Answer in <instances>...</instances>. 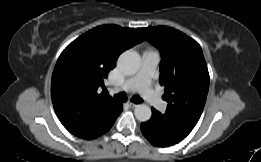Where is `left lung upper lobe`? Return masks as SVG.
Segmentation results:
<instances>
[{"mask_svg":"<svg viewBox=\"0 0 261 162\" xmlns=\"http://www.w3.org/2000/svg\"><path fill=\"white\" fill-rule=\"evenodd\" d=\"M139 32L161 53L160 84L168 102L165 114L194 127L202 114L210 80L200 45L167 26L140 28Z\"/></svg>","mask_w":261,"mask_h":162,"instance_id":"5c2ea615","label":"left lung upper lobe"}]
</instances>
